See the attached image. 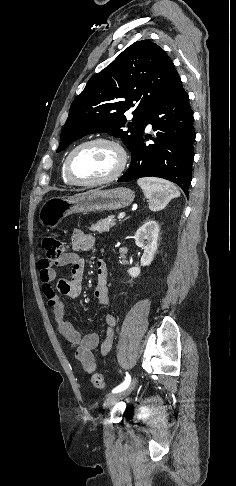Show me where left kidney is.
<instances>
[{
  "label": "left kidney",
  "instance_id": "5707ae66",
  "mask_svg": "<svg viewBox=\"0 0 236 486\" xmlns=\"http://www.w3.org/2000/svg\"><path fill=\"white\" fill-rule=\"evenodd\" d=\"M159 235V225L154 220L146 221L135 233V243L143 250L141 257V266H149L153 261L154 254L157 250V240ZM140 267L128 269V274L132 278L140 275Z\"/></svg>",
  "mask_w": 236,
  "mask_h": 486
}]
</instances>
